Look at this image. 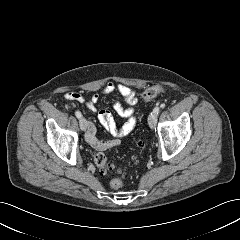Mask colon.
<instances>
[{
  "instance_id": "obj_1",
  "label": "colon",
  "mask_w": 240,
  "mask_h": 240,
  "mask_svg": "<svg viewBox=\"0 0 240 240\" xmlns=\"http://www.w3.org/2000/svg\"><path fill=\"white\" fill-rule=\"evenodd\" d=\"M162 91H163V89L160 86L149 87V88H147L146 90L143 91L142 99L144 101L153 100L154 98L159 96L162 93ZM94 161H95V164L98 166V168L103 173H107L112 169L110 164H108V162H107L106 156L102 153H98L95 156ZM121 174H122V177L126 176V173L124 171H122ZM122 177H114L110 182L111 187L114 188V189L121 188L122 185H123Z\"/></svg>"
}]
</instances>
